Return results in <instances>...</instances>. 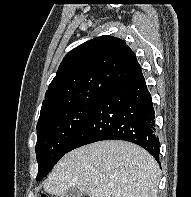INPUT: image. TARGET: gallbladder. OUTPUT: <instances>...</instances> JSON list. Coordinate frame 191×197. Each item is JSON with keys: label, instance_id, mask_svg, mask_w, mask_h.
I'll use <instances>...</instances> for the list:
<instances>
[{"label": "gallbladder", "instance_id": "obj_1", "mask_svg": "<svg viewBox=\"0 0 191 197\" xmlns=\"http://www.w3.org/2000/svg\"><path fill=\"white\" fill-rule=\"evenodd\" d=\"M63 197H83V192L78 188H70L66 191Z\"/></svg>", "mask_w": 191, "mask_h": 197}]
</instances>
